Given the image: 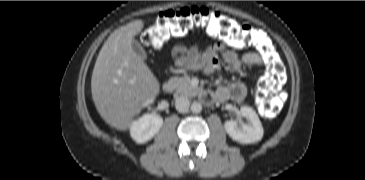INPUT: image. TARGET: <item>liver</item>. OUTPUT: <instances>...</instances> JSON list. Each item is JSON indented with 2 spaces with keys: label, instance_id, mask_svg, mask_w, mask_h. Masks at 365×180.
I'll return each mask as SVG.
<instances>
[{
  "label": "liver",
  "instance_id": "6515ba94",
  "mask_svg": "<svg viewBox=\"0 0 365 180\" xmlns=\"http://www.w3.org/2000/svg\"><path fill=\"white\" fill-rule=\"evenodd\" d=\"M143 27L142 20H135L113 31L92 73L95 107L107 124L120 131L128 130L145 102L159 94L157 78L131 46Z\"/></svg>",
  "mask_w": 365,
  "mask_h": 180
}]
</instances>
